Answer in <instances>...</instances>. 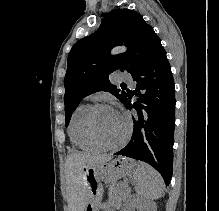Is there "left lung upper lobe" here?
Returning <instances> with one entry per match:
<instances>
[{"label": "left lung upper lobe", "mask_w": 219, "mask_h": 211, "mask_svg": "<svg viewBox=\"0 0 219 211\" xmlns=\"http://www.w3.org/2000/svg\"><path fill=\"white\" fill-rule=\"evenodd\" d=\"M122 44L128 47L125 53L110 55V49ZM163 50L160 38L139 13L129 9L108 13L99 29L76 42L68 55L64 81L66 126L82 98L92 92L108 91L122 102L126 93L112 85L108 75L117 69L133 75Z\"/></svg>", "instance_id": "left-lung-upper-lobe-1"}]
</instances>
